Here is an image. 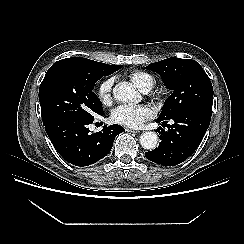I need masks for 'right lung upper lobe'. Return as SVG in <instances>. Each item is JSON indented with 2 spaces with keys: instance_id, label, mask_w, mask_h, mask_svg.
Listing matches in <instances>:
<instances>
[{
  "instance_id": "obj_1",
  "label": "right lung upper lobe",
  "mask_w": 244,
  "mask_h": 244,
  "mask_svg": "<svg viewBox=\"0 0 244 244\" xmlns=\"http://www.w3.org/2000/svg\"><path fill=\"white\" fill-rule=\"evenodd\" d=\"M57 65H67L70 67H74L78 71L86 72L89 74H96L101 71H110L114 66V65H107L104 63L96 62L82 57L62 59L53 64V66H57Z\"/></svg>"
}]
</instances>
